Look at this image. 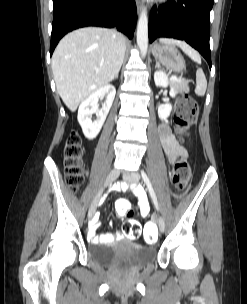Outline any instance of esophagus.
Instances as JSON below:
<instances>
[{
	"label": "esophagus",
	"instance_id": "34e87169",
	"mask_svg": "<svg viewBox=\"0 0 247 304\" xmlns=\"http://www.w3.org/2000/svg\"><path fill=\"white\" fill-rule=\"evenodd\" d=\"M136 5H137V10H138V13H140L143 9V4L140 0H137L136 1Z\"/></svg>",
	"mask_w": 247,
	"mask_h": 304
}]
</instances>
